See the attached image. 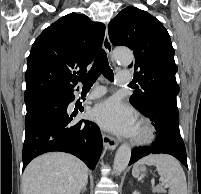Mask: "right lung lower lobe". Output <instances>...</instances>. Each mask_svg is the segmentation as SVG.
<instances>
[{"label": "right lung lower lobe", "instance_id": "obj_1", "mask_svg": "<svg viewBox=\"0 0 201 194\" xmlns=\"http://www.w3.org/2000/svg\"><path fill=\"white\" fill-rule=\"evenodd\" d=\"M73 91L36 89L25 92L27 114L23 145V169L35 157L62 151L80 158L94 169L102 149L98 126L88 120L70 124L67 107L75 99Z\"/></svg>", "mask_w": 201, "mask_h": 194}]
</instances>
